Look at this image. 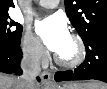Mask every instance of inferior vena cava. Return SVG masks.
<instances>
[{
  "label": "inferior vena cava",
  "mask_w": 107,
  "mask_h": 89,
  "mask_svg": "<svg viewBox=\"0 0 107 89\" xmlns=\"http://www.w3.org/2000/svg\"><path fill=\"white\" fill-rule=\"evenodd\" d=\"M41 48L36 44L33 50L21 61L23 71L20 77L22 89H33L36 84V77L41 71L40 67Z\"/></svg>",
  "instance_id": "602c4592"
}]
</instances>
